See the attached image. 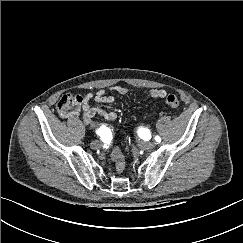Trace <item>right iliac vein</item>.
<instances>
[{"label": "right iliac vein", "mask_w": 243, "mask_h": 243, "mask_svg": "<svg viewBox=\"0 0 243 243\" xmlns=\"http://www.w3.org/2000/svg\"><path fill=\"white\" fill-rule=\"evenodd\" d=\"M100 146H101V144H100V142L97 141V140L91 142V148H93V149H97V148H99Z\"/></svg>", "instance_id": "1"}]
</instances>
